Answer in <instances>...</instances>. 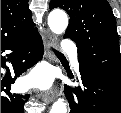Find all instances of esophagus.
Here are the masks:
<instances>
[{
  "mask_svg": "<svg viewBox=\"0 0 121 113\" xmlns=\"http://www.w3.org/2000/svg\"><path fill=\"white\" fill-rule=\"evenodd\" d=\"M54 43H55L54 37L51 35V33L46 32L44 37V48H45V56L48 59L52 58V52L50 50V46L53 45ZM57 94H58L57 90L45 93L43 95V101L49 104L55 100Z\"/></svg>",
  "mask_w": 121,
  "mask_h": 113,
  "instance_id": "obj_1",
  "label": "esophagus"
}]
</instances>
